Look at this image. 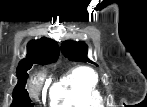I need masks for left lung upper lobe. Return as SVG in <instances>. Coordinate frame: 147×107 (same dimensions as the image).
<instances>
[{"label":"left lung upper lobe","instance_id":"1","mask_svg":"<svg viewBox=\"0 0 147 107\" xmlns=\"http://www.w3.org/2000/svg\"><path fill=\"white\" fill-rule=\"evenodd\" d=\"M61 49L64 55L71 61L78 62H91L87 57L88 47L84 42H75L72 40H67L61 44Z\"/></svg>","mask_w":147,"mask_h":107}]
</instances>
